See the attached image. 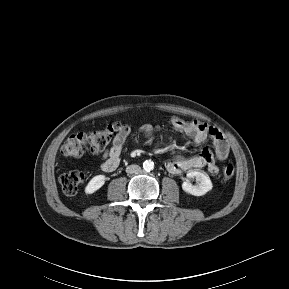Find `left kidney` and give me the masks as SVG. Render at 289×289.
<instances>
[{
	"instance_id": "obj_1",
	"label": "left kidney",
	"mask_w": 289,
	"mask_h": 289,
	"mask_svg": "<svg viewBox=\"0 0 289 289\" xmlns=\"http://www.w3.org/2000/svg\"><path fill=\"white\" fill-rule=\"evenodd\" d=\"M196 179V184L193 185L190 182V179ZM212 182L204 171L192 170L187 174V179L182 184V189L188 194L194 196H202L205 195L212 189Z\"/></svg>"
}]
</instances>
